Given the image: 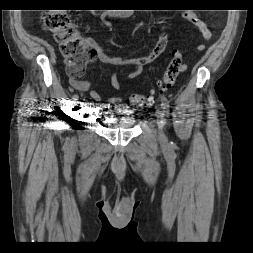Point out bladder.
<instances>
[{
    "label": "bladder",
    "mask_w": 253,
    "mask_h": 253,
    "mask_svg": "<svg viewBox=\"0 0 253 253\" xmlns=\"http://www.w3.org/2000/svg\"><path fill=\"white\" fill-rule=\"evenodd\" d=\"M102 120L105 126L114 129H130L136 125V118L128 109H118L112 111H101Z\"/></svg>",
    "instance_id": "obj_1"
}]
</instances>
